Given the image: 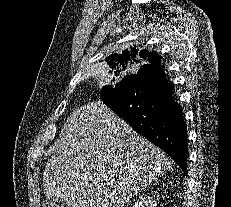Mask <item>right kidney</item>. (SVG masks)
Segmentation results:
<instances>
[{
	"label": "right kidney",
	"instance_id": "obj_1",
	"mask_svg": "<svg viewBox=\"0 0 231 207\" xmlns=\"http://www.w3.org/2000/svg\"><path fill=\"white\" fill-rule=\"evenodd\" d=\"M157 203L152 198L148 197L145 199L138 200L133 207H156Z\"/></svg>",
	"mask_w": 231,
	"mask_h": 207
}]
</instances>
